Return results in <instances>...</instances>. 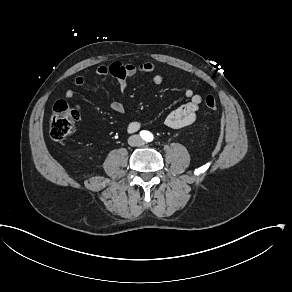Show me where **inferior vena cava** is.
<instances>
[{"mask_svg":"<svg viewBox=\"0 0 292 292\" xmlns=\"http://www.w3.org/2000/svg\"><path fill=\"white\" fill-rule=\"evenodd\" d=\"M131 146H141L144 145V140L139 135H133L128 139Z\"/></svg>","mask_w":292,"mask_h":292,"instance_id":"inferior-vena-cava-1","label":"inferior vena cava"}]
</instances>
